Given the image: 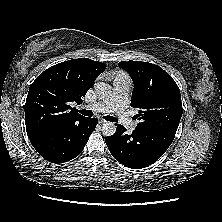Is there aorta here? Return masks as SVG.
<instances>
[{"mask_svg": "<svg viewBox=\"0 0 222 222\" xmlns=\"http://www.w3.org/2000/svg\"><path fill=\"white\" fill-rule=\"evenodd\" d=\"M111 86L105 82H98L95 84V90L100 97H106L111 92ZM104 136H112L116 132V126L112 122H106L102 126Z\"/></svg>", "mask_w": 222, "mask_h": 222, "instance_id": "aorta-1", "label": "aorta"}]
</instances>
